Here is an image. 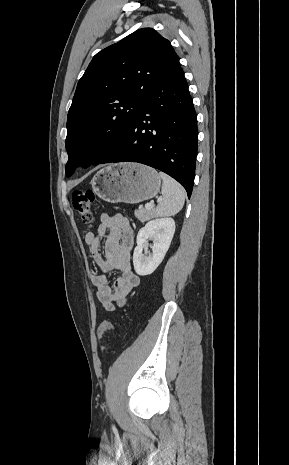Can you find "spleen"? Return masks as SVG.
<instances>
[{
  "mask_svg": "<svg viewBox=\"0 0 289 465\" xmlns=\"http://www.w3.org/2000/svg\"><path fill=\"white\" fill-rule=\"evenodd\" d=\"M159 176L163 180L162 197L154 214L158 217L175 215L183 208L186 196L185 190L177 181L165 173L160 172Z\"/></svg>",
  "mask_w": 289,
  "mask_h": 465,
  "instance_id": "obj_1",
  "label": "spleen"
}]
</instances>
